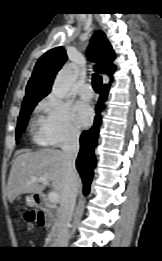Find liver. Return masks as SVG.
Returning a JSON list of instances; mask_svg holds the SVG:
<instances>
[{"label":"liver","instance_id":"obj_1","mask_svg":"<svg viewBox=\"0 0 162 261\" xmlns=\"http://www.w3.org/2000/svg\"><path fill=\"white\" fill-rule=\"evenodd\" d=\"M66 164L61 150L44 148L37 151H25L13 161L7 184V198L13 202L23 193H42L45 185L32 182V177H46L52 183L54 192L61 201L66 182ZM77 183L79 186V176Z\"/></svg>","mask_w":162,"mask_h":261}]
</instances>
